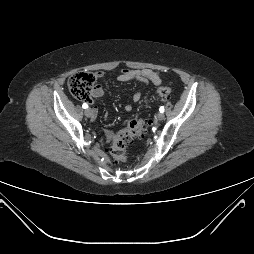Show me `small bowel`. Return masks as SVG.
<instances>
[{"label": "small bowel", "mask_w": 254, "mask_h": 254, "mask_svg": "<svg viewBox=\"0 0 254 254\" xmlns=\"http://www.w3.org/2000/svg\"><path fill=\"white\" fill-rule=\"evenodd\" d=\"M104 75V72L102 71H98L95 73V76L97 78H102ZM116 80L118 82H127V81H131V80H136L141 82L144 85H147L149 83H152L153 85H160L162 82V77L160 72L152 70V69H148V68H143V69H130V68H124L120 71V73L118 74V76L116 77ZM104 94V89L101 85H96L94 87V89L92 90V97L94 98H99L101 96H103ZM142 94L141 92L137 91L133 94L132 99L133 102L137 103L141 100ZM88 103H92V100L89 99ZM132 106L131 105H126L125 106V110L126 111H131ZM97 113V108L93 107L92 108V115L93 117H95ZM105 136L107 138L110 137V134L108 131H105Z\"/></svg>", "instance_id": "obj_1"}]
</instances>
